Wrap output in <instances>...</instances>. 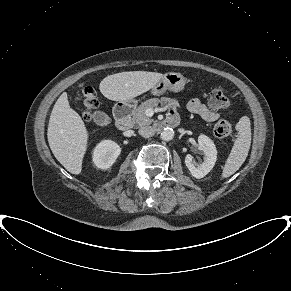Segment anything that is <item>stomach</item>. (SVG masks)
Listing matches in <instances>:
<instances>
[{"instance_id":"0dacf381","label":"stomach","mask_w":291,"mask_h":291,"mask_svg":"<svg viewBox=\"0 0 291 291\" xmlns=\"http://www.w3.org/2000/svg\"><path fill=\"white\" fill-rule=\"evenodd\" d=\"M185 78L182 74L176 72H168L163 75V78L151 89L150 94L153 96H160L167 91L180 92L184 89ZM120 105L135 107L137 100L130 99L120 101Z\"/></svg>"}]
</instances>
